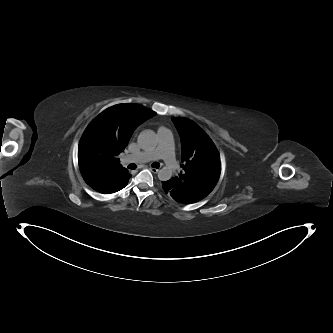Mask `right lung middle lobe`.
I'll use <instances>...</instances> for the list:
<instances>
[{
    "label": "right lung middle lobe",
    "mask_w": 333,
    "mask_h": 333,
    "mask_svg": "<svg viewBox=\"0 0 333 333\" xmlns=\"http://www.w3.org/2000/svg\"><path fill=\"white\" fill-rule=\"evenodd\" d=\"M108 144L103 121L96 118L88 125L79 143L78 161L81 173L100 160L102 149Z\"/></svg>",
    "instance_id": "right-lung-middle-lobe-1"
}]
</instances>
